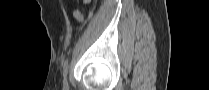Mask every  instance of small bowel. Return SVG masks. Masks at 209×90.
<instances>
[{"label": "small bowel", "instance_id": "c3829d8e", "mask_svg": "<svg viewBox=\"0 0 209 90\" xmlns=\"http://www.w3.org/2000/svg\"><path fill=\"white\" fill-rule=\"evenodd\" d=\"M85 2L87 3L88 1H85ZM72 14H73V16H74V18L76 20L83 21L84 16L82 15V13L80 11H78V10H72Z\"/></svg>", "mask_w": 209, "mask_h": 90}]
</instances>
